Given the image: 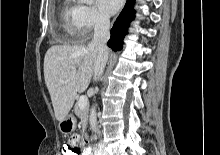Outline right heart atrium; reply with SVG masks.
<instances>
[{
  "label": "right heart atrium",
  "mask_w": 220,
  "mask_h": 155,
  "mask_svg": "<svg viewBox=\"0 0 220 155\" xmlns=\"http://www.w3.org/2000/svg\"><path fill=\"white\" fill-rule=\"evenodd\" d=\"M109 25V17L93 5L81 6L79 28L82 35H90L105 29Z\"/></svg>",
  "instance_id": "right-heart-atrium-1"
}]
</instances>
